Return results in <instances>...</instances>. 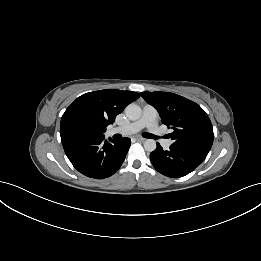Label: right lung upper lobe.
Returning <instances> with one entry per match:
<instances>
[{
    "label": "right lung upper lobe",
    "mask_w": 261,
    "mask_h": 261,
    "mask_svg": "<svg viewBox=\"0 0 261 261\" xmlns=\"http://www.w3.org/2000/svg\"><path fill=\"white\" fill-rule=\"evenodd\" d=\"M140 95L132 91L105 89L81 95L66 109L61 120L75 113H84L92 117L98 125L106 130L115 117Z\"/></svg>",
    "instance_id": "1"
}]
</instances>
